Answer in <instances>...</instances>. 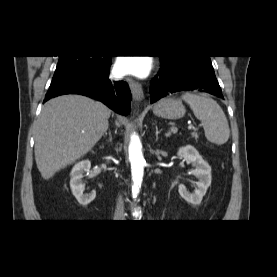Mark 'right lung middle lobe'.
<instances>
[{
	"label": "right lung middle lobe",
	"mask_w": 277,
	"mask_h": 277,
	"mask_svg": "<svg viewBox=\"0 0 277 277\" xmlns=\"http://www.w3.org/2000/svg\"><path fill=\"white\" fill-rule=\"evenodd\" d=\"M108 60L109 57L105 56H59L50 87H57L89 75Z\"/></svg>",
	"instance_id": "1"
}]
</instances>
